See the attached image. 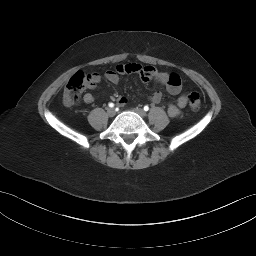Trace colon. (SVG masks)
<instances>
[{
    "mask_svg": "<svg viewBox=\"0 0 256 256\" xmlns=\"http://www.w3.org/2000/svg\"><path fill=\"white\" fill-rule=\"evenodd\" d=\"M94 73L85 74L83 72H77L74 74L66 85L63 94V103L65 105H73L79 98L81 92L89 86ZM202 98L198 92H192L189 95V106L192 110L197 111L201 108Z\"/></svg>",
    "mask_w": 256,
    "mask_h": 256,
    "instance_id": "obj_1",
    "label": "colon"
}]
</instances>
